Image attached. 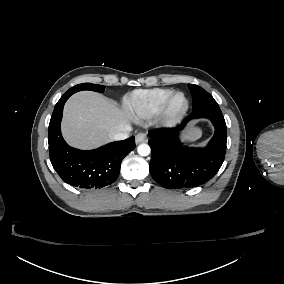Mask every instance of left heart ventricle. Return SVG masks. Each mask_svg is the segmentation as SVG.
Segmentation results:
<instances>
[{
    "label": "left heart ventricle",
    "instance_id": "obj_1",
    "mask_svg": "<svg viewBox=\"0 0 284 284\" xmlns=\"http://www.w3.org/2000/svg\"><path fill=\"white\" fill-rule=\"evenodd\" d=\"M184 103L185 100L182 94H178L177 96H175L170 102L169 114L172 116L179 114L184 107Z\"/></svg>",
    "mask_w": 284,
    "mask_h": 284
}]
</instances>
